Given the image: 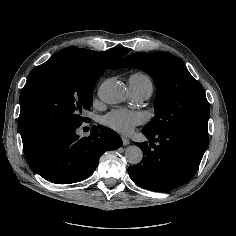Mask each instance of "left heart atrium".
Masks as SVG:
<instances>
[{
  "label": "left heart atrium",
  "mask_w": 236,
  "mask_h": 236,
  "mask_svg": "<svg viewBox=\"0 0 236 236\" xmlns=\"http://www.w3.org/2000/svg\"><path fill=\"white\" fill-rule=\"evenodd\" d=\"M141 121L140 114L124 109L113 110L102 119L105 125L124 135H130Z\"/></svg>",
  "instance_id": "obj_1"
}]
</instances>
